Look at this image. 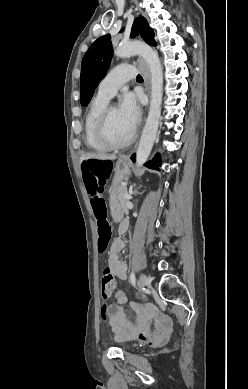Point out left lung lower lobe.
Segmentation results:
<instances>
[{
    "instance_id": "left-lung-lower-lobe-1",
    "label": "left lung lower lobe",
    "mask_w": 248,
    "mask_h": 389,
    "mask_svg": "<svg viewBox=\"0 0 248 389\" xmlns=\"http://www.w3.org/2000/svg\"><path fill=\"white\" fill-rule=\"evenodd\" d=\"M135 157H136L135 154H133V155L131 156V160H132L133 162H135ZM160 164H161L160 156H159V155H156L151 161H148V162L145 164V166L148 167V168H150V169H154V170L160 171V169H159Z\"/></svg>"
}]
</instances>
